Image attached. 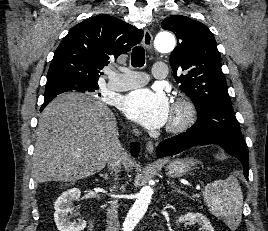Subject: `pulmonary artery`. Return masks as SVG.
I'll return each instance as SVG.
<instances>
[{"mask_svg":"<svg viewBox=\"0 0 268 231\" xmlns=\"http://www.w3.org/2000/svg\"><path fill=\"white\" fill-rule=\"evenodd\" d=\"M167 65L163 62H154L153 77L165 79L167 76ZM147 82L146 74L140 71L128 70L124 74L112 72L107 88L112 92H124L144 85Z\"/></svg>","mask_w":268,"mask_h":231,"instance_id":"1","label":"pulmonary artery"}]
</instances>
